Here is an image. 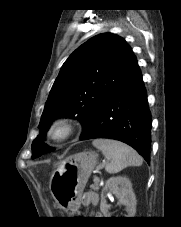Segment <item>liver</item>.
<instances>
[{"instance_id": "liver-1", "label": "liver", "mask_w": 181, "mask_h": 227, "mask_svg": "<svg viewBox=\"0 0 181 227\" xmlns=\"http://www.w3.org/2000/svg\"><path fill=\"white\" fill-rule=\"evenodd\" d=\"M60 163H61V162L57 163V164L55 165V167L58 166Z\"/></svg>"}]
</instances>
